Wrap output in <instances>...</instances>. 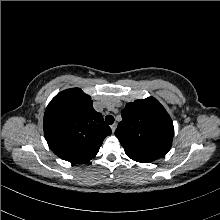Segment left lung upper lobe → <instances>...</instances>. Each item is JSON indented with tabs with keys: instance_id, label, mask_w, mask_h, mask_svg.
Returning a JSON list of instances; mask_svg holds the SVG:
<instances>
[{
	"instance_id": "left-lung-upper-lobe-1",
	"label": "left lung upper lobe",
	"mask_w": 220,
	"mask_h": 220,
	"mask_svg": "<svg viewBox=\"0 0 220 220\" xmlns=\"http://www.w3.org/2000/svg\"><path fill=\"white\" fill-rule=\"evenodd\" d=\"M115 135L126 155L137 162H151L171 148L173 122L164 107L153 97L127 103Z\"/></svg>"
}]
</instances>
